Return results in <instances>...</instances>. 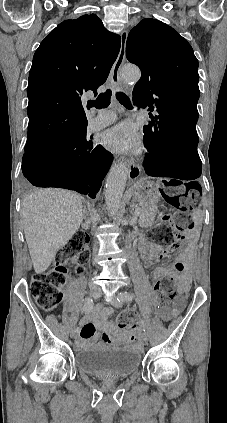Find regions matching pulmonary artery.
I'll list each match as a JSON object with an SVG mask.
<instances>
[{"label":"pulmonary artery","instance_id":"obj_1","mask_svg":"<svg viewBox=\"0 0 227 423\" xmlns=\"http://www.w3.org/2000/svg\"><path fill=\"white\" fill-rule=\"evenodd\" d=\"M116 120V114L111 110H101L98 111L96 117L90 120V130L97 131L103 129Z\"/></svg>","mask_w":227,"mask_h":423}]
</instances>
